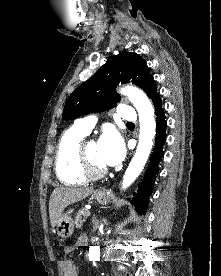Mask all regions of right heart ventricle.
Returning a JSON list of instances; mask_svg holds the SVG:
<instances>
[{
	"mask_svg": "<svg viewBox=\"0 0 221 276\" xmlns=\"http://www.w3.org/2000/svg\"><path fill=\"white\" fill-rule=\"evenodd\" d=\"M85 136V133L72 127L66 130L59 139L55 168L57 176L65 184L79 185L87 181L79 159V145Z\"/></svg>",
	"mask_w": 221,
	"mask_h": 276,
	"instance_id": "obj_1",
	"label": "right heart ventricle"
}]
</instances>
